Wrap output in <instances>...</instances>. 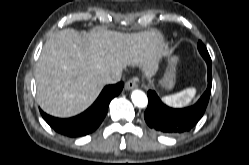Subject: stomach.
Masks as SVG:
<instances>
[{
	"instance_id": "1",
	"label": "stomach",
	"mask_w": 249,
	"mask_h": 165,
	"mask_svg": "<svg viewBox=\"0 0 249 165\" xmlns=\"http://www.w3.org/2000/svg\"><path fill=\"white\" fill-rule=\"evenodd\" d=\"M178 61V58L177 57H171L169 62H170V69L169 71L167 72L166 74V77L165 79L162 81V85L166 88H172L173 85H174V70H175V65Z\"/></svg>"
}]
</instances>
